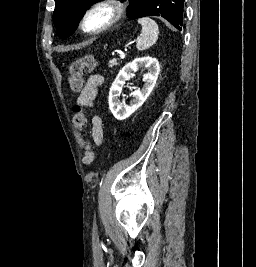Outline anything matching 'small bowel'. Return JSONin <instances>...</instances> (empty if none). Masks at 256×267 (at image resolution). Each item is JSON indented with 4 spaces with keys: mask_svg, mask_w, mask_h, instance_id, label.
<instances>
[{
    "mask_svg": "<svg viewBox=\"0 0 256 267\" xmlns=\"http://www.w3.org/2000/svg\"><path fill=\"white\" fill-rule=\"evenodd\" d=\"M103 81L104 78L101 74L90 75L84 82L83 88L81 89L77 99V104L81 107L92 106L95 98L97 97L98 89L103 84ZM91 137L97 146L102 144L104 137L102 121L97 116L92 118Z\"/></svg>",
    "mask_w": 256,
    "mask_h": 267,
    "instance_id": "small-bowel-1",
    "label": "small bowel"
}]
</instances>
